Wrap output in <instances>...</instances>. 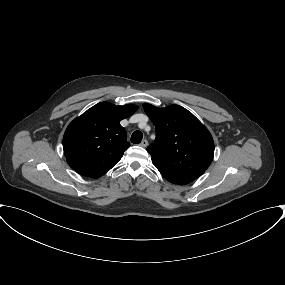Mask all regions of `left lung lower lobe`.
I'll return each mask as SVG.
<instances>
[{
    "label": "left lung lower lobe",
    "instance_id": "left-lung-lower-lobe-1",
    "mask_svg": "<svg viewBox=\"0 0 285 285\" xmlns=\"http://www.w3.org/2000/svg\"><path fill=\"white\" fill-rule=\"evenodd\" d=\"M157 169L160 171V173L163 175L165 179H167L169 182L173 184H187L196 179L176 172L165 171L159 168Z\"/></svg>",
    "mask_w": 285,
    "mask_h": 285
}]
</instances>
